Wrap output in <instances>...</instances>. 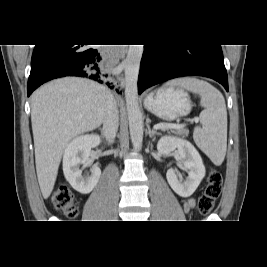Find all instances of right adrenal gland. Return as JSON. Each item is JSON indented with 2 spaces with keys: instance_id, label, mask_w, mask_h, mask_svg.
I'll return each instance as SVG.
<instances>
[{
  "instance_id": "1",
  "label": "right adrenal gland",
  "mask_w": 267,
  "mask_h": 267,
  "mask_svg": "<svg viewBox=\"0 0 267 267\" xmlns=\"http://www.w3.org/2000/svg\"><path fill=\"white\" fill-rule=\"evenodd\" d=\"M100 129V131H101V134H103V129H101V128H99Z\"/></svg>"
}]
</instances>
